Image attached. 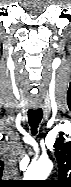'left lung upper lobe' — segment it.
Returning a JSON list of instances; mask_svg holds the SVG:
<instances>
[{
	"label": "left lung upper lobe",
	"instance_id": "obj_1",
	"mask_svg": "<svg viewBox=\"0 0 71 187\" xmlns=\"http://www.w3.org/2000/svg\"><path fill=\"white\" fill-rule=\"evenodd\" d=\"M55 156L59 165V181H55L58 186H71V142L65 143L63 134H59L55 144Z\"/></svg>",
	"mask_w": 71,
	"mask_h": 187
}]
</instances>
